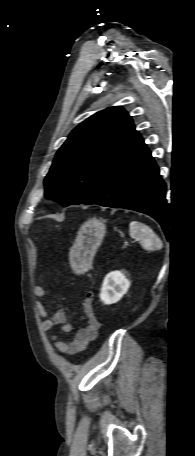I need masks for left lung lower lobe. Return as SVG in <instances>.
<instances>
[{
  "mask_svg": "<svg viewBox=\"0 0 195 456\" xmlns=\"http://www.w3.org/2000/svg\"><path fill=\"white\" fill-rule=\"evenodd\" d=\"M165 189L159 168L138 133L103 185L83 204L135 210L164 227Z\"/></svg>",
  "mask_w": 195,
  "mask_h": 456,
  "instance_id": "left-lung-lower-lobe-1",
  "label": "left lung lower lobe"
}]
</instances>
